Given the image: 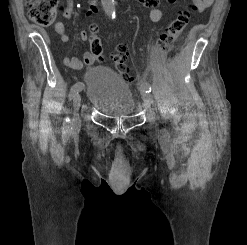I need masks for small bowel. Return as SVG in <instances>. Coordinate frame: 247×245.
Masks as SVG:
<instances>
[{
    "label": "small bowel",
    "instance_id": "c3829d8e",
    "mask_svg": "<svg viewBox=\"0 0 247 245\" xmlns=\"http://www.w3.org/2000/svg\"><path fill=\"white\" fill-rule=\"evenodd\" d=\"M67 4L62 11V16L66 19H69L73 15L74 10V0H66ZM168 3L173 4L176 2V0H166ZM196 8L199 12L204 11L208 7H210L214 0H194ZM139 2L146 6L152 8L150 11V18L153 22H159L163 19L165 15V10L162 8H159L160 0H139ZM97 12V1L90 0L89 7L86 11V16L90 17L91 15L95 14ZM55 32L59 35L60 40L63 44L68 43L69 36L66 33L65 25L63 22L58 21L54 25ZM80 38L82 40L87 39V34L85 31H82L80 33ZM96 56L92 52H86L84 54V57L82 60L76 58V57H66L64 59V64L72 69H81L84 67V65H92L95 62Z\"/></svg>",
    "mask_w": 247,
    "mask_h": 245
}]
</instances>
